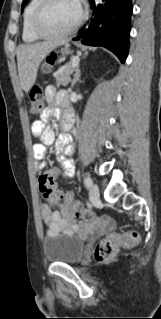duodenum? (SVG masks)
<instances>
[{
	"label": "duodenum",
	"mask_w": 161,
	"mask_h": 319,
	"mask_svg": "<svg viewBox=\"0 0 161 319\" xmlns=\"http://www.w3.org/2000/svg\"><path fill=\"white\" fill-rule=\"evenodd\" d=\"M71 126H72V124H71V121H70V120H64V122H63V129H64L65 131H69V130L71 129Z\"/></svg>",
	"instance_id": "410a0bca"
}]
</instances>
